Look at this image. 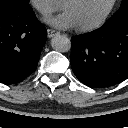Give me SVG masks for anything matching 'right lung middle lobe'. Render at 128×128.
Segmentation results:
<instances>
[{
  "label": "right lung middle lobe",
  "instance_id": "right-lung-middle-lobe-1",
  "mask_svg": "<svg viewBox=\"0 0 128 128\" xmlns=\"http://www.w3.org/2000/svg\"><path fill=\"white\" fill-rule=\"evenodd\" d=\"M29 0H0V8L30 9Z\"/></svg>",
  "mask_w": 128,
  "mask_h": 128
}]
</instances>
